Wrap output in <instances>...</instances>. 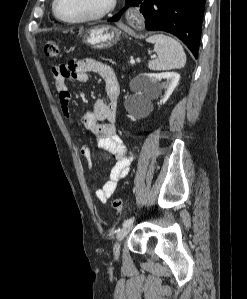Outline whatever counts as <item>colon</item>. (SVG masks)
<instances>
[{"label":"colon","mask_w":247,"mask_h":299,"mask_svg":"<svg viewBox=\"0 0 247 299\" xmlns=\"http://www.w3.org/2000/svg\"><path fill=\"white\" fill-rule=\"evenodd\" d=\"M44 54L48 58H57L59 56V46L54 40H47L44 44ZM129 201L123 198H115L112 201V207L121 212L128 207Z\"/></svg>","instance_id":"5ec220e1"}]
</instances>
